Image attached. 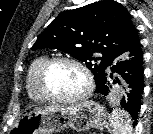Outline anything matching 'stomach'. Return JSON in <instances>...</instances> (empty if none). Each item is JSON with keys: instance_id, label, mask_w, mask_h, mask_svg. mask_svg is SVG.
I'll return each instance as SVG.
<instances>
[{"instance_id": "stomach-1", "label": "stomach", "mask_w": 153, "mask_h": 134, "mask_svg": "<svg viewBox=\"0 0 153 134\" xmlns=\"http://www.w3.org/2000/svg\"><path fill=\"white\" fill-rule=\"evenodd\" d=\"M106 123L103 107L94 101L72 106L36 108L24 114L12 129L14 134H54L65 128L83 132Z\"/></svg>"}]
</instances>
